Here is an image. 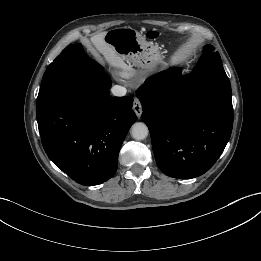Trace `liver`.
<instances>
[{
  "label": "liver",
  "mask_w": 261,
  "mask_h": 261,
  "mask_svg": "<svg viewBox=\"0 0 261 261\" xmlns=\"http://www.w3.org/2000/svg\"><path fill=\"white\" fill-rule=\"evenodd\" d=\"M106 32H101L96 34L90 38V44L94 47V49L102 54L105 60L113 67L121 68L123 70L128 69L127 64L124 59L111 47L109 46L104 38Z\"/></svg>",
  "instance_id": "obj_1"
}]
</instances>
